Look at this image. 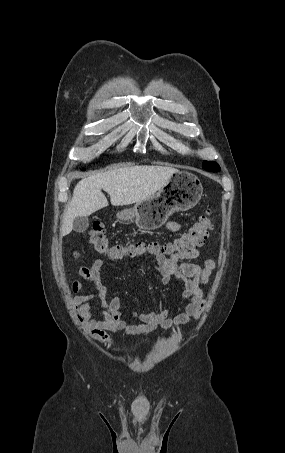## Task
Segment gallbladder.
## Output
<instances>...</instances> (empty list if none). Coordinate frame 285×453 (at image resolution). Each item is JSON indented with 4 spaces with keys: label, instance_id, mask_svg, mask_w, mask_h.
Returning a JSON list of instances; mask_svg holds the SVG:
<instances>
[{
    "label": "gallbladder",
    "instance_id": "bac80fb5",
    "mask_svg": "<svg viewBox=\"0 0 285 453\" xmlns=\"http://www.w3.org/2000/svg\"><path fill=\"white\" fill-rule=\"evenodd\" d=\"M89 226L88 217H76L73 220V230L78 233L84 232Z\"/></svg>",
    "mask_w": 285,
    "mask_h": 453
}]
</instances>
